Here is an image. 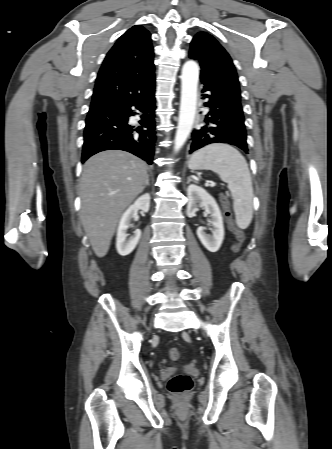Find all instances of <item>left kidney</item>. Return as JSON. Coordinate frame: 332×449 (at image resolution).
I'll return each mask as SVG.
<instances>
[{"mask_svg": "<svg viewBox=\"0 0 332 449\" xmlns=\"http://www.w3.org/2000/svg\"><path fill=\"white\" fill-rule=\"evenodd\" d=\"M187 216L194 217L198 207H203L210 214L208 221L213 227L212 236L205 233L204 227L197 229V236L203 246L210 252H217L224 239V226L220 209L215 199L202 187L191 184L187 188Z\"/></svg>", "mask_w": 332, "mask_h": 449, "instance_id": "left-kidney-1", "label": "left kidney"}]
</instances>
